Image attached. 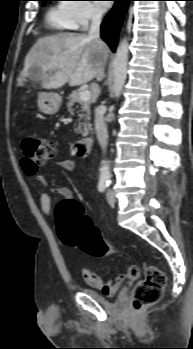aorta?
Masks as SVG:
<instances>
[{"label":"aorta","mask_w":193,"mask_h":349,"mask_svg":"<svg viewBox=\"0 0 193 349\" xmlns=\"http://www.w3.org/2000/svg\"><path fill=\"white\" fill-rule=\"evenodd\" d=\"M128 66V41L124 38L118 45L113 60L114 86L113 92L119 98L125 85ZM100 181L106 182L110 179V170L107 161H102L100 168Z\"/></svg>","instance_id":"1"}]
</instances>
